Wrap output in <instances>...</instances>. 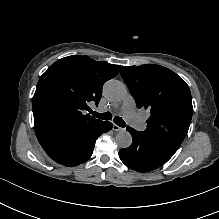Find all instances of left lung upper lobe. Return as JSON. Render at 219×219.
<instances>
[{"label": "left lung upper lobe", "instance_id": "left-lung-upper-lobe-1", "mask_svg": "<svg viewBox=\"0 0 219 219\" xmlns=\"http://www.w3.org/2000/svg\"><path fill=\"white\" fill-rule=\"evenodd\" d=\"M121 76L138 108L150 111L147 139L174 154L187 135L193 112L186 82L160 65L124 66Z\"/></svg>", "mask_w": 219, "mask_h": 219}]
</instances>
